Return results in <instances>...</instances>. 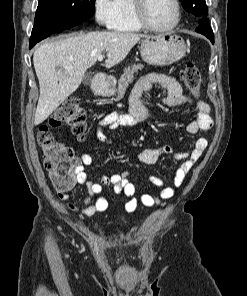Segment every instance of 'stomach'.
Returning <instances> with one entry per match:
<instances>
[{
    "instance_id": "stomach-1",
    "label": "stomach",
    "mask_w": 247,
    "mask_h": 296,
    "mask_svg": "<svg viewBox=\"0 0 247 296\" xmlns=\"http://www.w3.org/2000/svg\"><path fill=\"white\" fill-rule=\"evenodd\" d=\"M186 53V44L183 38L174 33H160L147 36L141 42V57L151 65L165 66L181 60ZM114 88L105 83L98 87L101 95H113Z\"/></svg>"
}]
</instances>
